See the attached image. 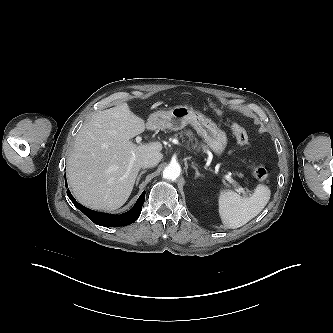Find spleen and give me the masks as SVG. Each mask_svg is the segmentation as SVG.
Here are the masks:
<instances>
[{
	"label": "spleen",
	"mask_w": 333,
	"mask_h": 333,
	"mask_svg": "<svg viewBox=\"0 0 333 333\" xmlns=\"http://www.w3.org/2000/svg\"><path fill=\"white\" fill-rule=\"evenodd\" d=\"M270 195V189L261 184L250 197H242L232 190H222L218 198L222 223L230 229L245 225L263 210Z\"/></svg>",
	"instance_id": "obj_1"
}]
</instances>
